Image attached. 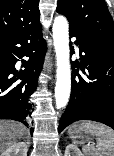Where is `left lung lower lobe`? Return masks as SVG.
I'll return each mask as SVG.
<instances>
[{"label": "left lung lower lobe", "instance_id": "obj_1", "mask_svg": "<svg viewBox=\"0 0 114 156\" xmlns=\"http://www.w3.org/2000/svg\"><path fill=\"white\" fill-rule=\"evenodd\" d=\"M79 45L80 63L72 68V92L60 118L58 132L78 120H93L114 129V52L81 33L70 30Z\"/></svg>", "mask_w": 114, "mask_h": 156}]
</instances>
